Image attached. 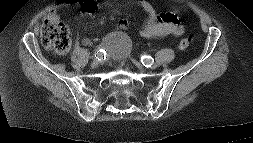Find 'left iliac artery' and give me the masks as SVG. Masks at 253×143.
Segmentation results:
<instances>
[{
  "label": "left iliac artery",
  "mask_w": 253,
  "mask_h": 143,
  "mask_svg": "<svg viewBox=\"0 0 253 143\" xmlns=\"http://www.w3.org/2000/svg\"><path fill=\"white\" fill-rule=\"evenodd\" d=\"M141 62L145 67H150L154 59L151 56L143 55L141 56Z\"/></svg>",
  "instance_id": "44dca946"
}]
</instances>
